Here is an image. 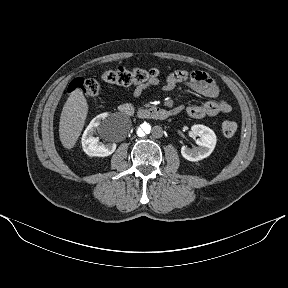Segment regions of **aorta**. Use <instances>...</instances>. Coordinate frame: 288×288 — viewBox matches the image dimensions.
I'll list each match as a JSON object with an SVG mask.
<instances>
[{"label":"aorta","mask_w":288,"mask_h":288,"mask_svg":"<svg viewBox=\"0 0 288 288\" xmlns=\"http://www.w3.org/2000/svg\"><path fill=\"white\" fill-rule=\"evenodd\" d=\"M151 132V125L148 122H141L136 128V135L139 138H146Z\"/></svg>","instance_id":"1"}]
</instances>
